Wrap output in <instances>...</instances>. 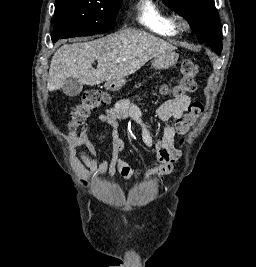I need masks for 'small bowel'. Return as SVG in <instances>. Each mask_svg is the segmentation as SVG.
<instances>
[{
  "label": "small bowel",
  "mask_w": 256,
  "mask_h": 267,
  "mask_svg": "<svg viewBox=\"0 0 256 267\" xmlns=\"http://www.w3.org/2000/svg\"><path fill=\"white\" fill-rule=\"evenodd\" d=\"M190 103V97L183 96L182 98L171 99L158 107L155 111V117L164 124V127L160 137L155 138L142 125L140 111L134 103V97H123L117 100L113 106L98 116V124L106 126L112 135L111 157L102 162L97 161L99 150L89 136L90 127L85 124L69 136L70 145L81 149L80 156L72 155L71 157L75 171L84 180L105 175L113 177L116 173L126 179L136 178L138 176L137 171L121 156L125 148V141L119 135V120L130 117L138 123L144 144L149 148H154L157 154L159 165L151 168L146 174V178L159 179L169 174L173 169V164L180 156V152L175 146V138L178 133H176L172 121L175 118H183Z\"/></svg>",
  "instance_id": "c3829d8e"
}]
</instances>
